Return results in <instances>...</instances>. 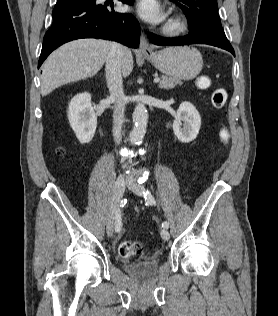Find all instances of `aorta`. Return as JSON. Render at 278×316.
I'll use <instances>...</instances> for the list:
<instances>
[{
  "label": "aorta",
  "mask_w": 278,
  "mask_h": 316,
  "mask_svg": "<svg viewBox=\"0 0 278 316\" xmlns=\"http://www.w3.org/2000/svg\"><path fill=\"white\" fill-rule=\"evenodd\" d=\"M134 127L130 133V141L133 144L139 145L145 136L148 124V112L143 104H137L133 112Z\"/></svg>",
  "instance_id": "1"
}]
</instances>
